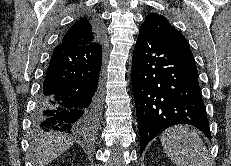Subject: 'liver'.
I'll use <instances>...</instances> for the list:
<instances>
[{"mask_svg":"<svg viewBox=\"0 0 231 166\" xmlns=\"http://www.w3.org/2000/svg\"><path fill=\"white\" fill-rule=\"evenodd\" d=\"M31 144L37 166H46L69 149L72 141L61 134L49 133L32 141Z\"/></svg>","mask_w":231,"mask_h":166,"instance_id":"obj_1","label":"liver"}]
</instances>
